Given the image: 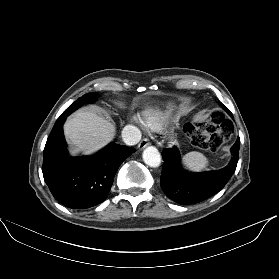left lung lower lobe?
<instances>
[{
  "instance_id": "0a47b994",
  "label": "left lung lower lobe",
  "mask_w": 279,
  "mask_h": 279,
  "mask_svg": "<svg viewBox=\"0 0 279 279\" xmlns=\"http://www.w3.org/2000/svg\"><path fill=\"white\" fill-rule=\"evenodd\" d=\"M240 139L231 148L233 158L224 168L204 173H190L180 164V153L177 147L164 149L163 169L160 185L166 196L183 204H195L218 193L235 172L239 157Z\"/></svg>"
}]
</instances>
